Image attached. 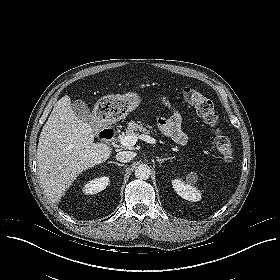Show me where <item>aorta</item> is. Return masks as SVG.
I'll list each match as a JSON object with an SVG mask.
<instances>
[{"mask_svg":"<svg viewBox=\"0 0 280 280\" xmlns=\"http://www.w3.org/2000/svg\"><path fill=\"white\" fill-rule=\"evenodd\" d=\"M151 170L150 167L146 164H140L135 169V176L140 180H146L150 177Z\"/></svg>","mask_w":280,"mask_h":280,"instance_id":"762f6f07","label":"aorta"}]
</instances>
